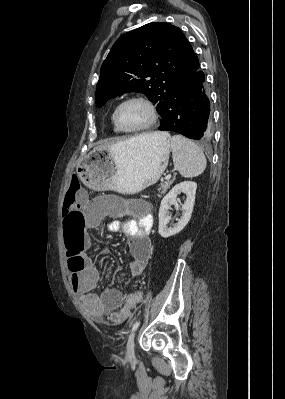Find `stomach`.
Returning a JSON list of instances; mask_svg holds the SVG:
<instances>
[{"label": "stomach", "instance_id": "1", "mask_svg": "<svg viewBox=\"0 0 285 399\" xmlns=\"http://www.w3.org/2000/svg\"><path fill=\"white\" fill-rule=\"evenodd\" d=\"M157 133L153 139L137 137L94 149L78 163L79 178L92 190L122 194H135L155 184L168 165L171 146L168 133Z\"/></svg>", "mask_w": 285, "mask_h": 399}]
</instances>
